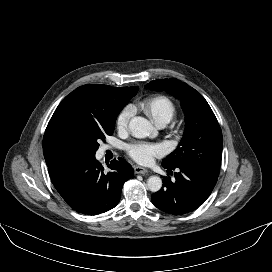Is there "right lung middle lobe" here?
<instances>
[{
	"label": "right lung middle lobe",
	"instance_id": "right-lung-middle-lobe-1",
	"mask_svg": "<svg viewBox=\"0 0 272 272\" xmlns=\"http://www.w3.org/2000/svg\"><path fill=\"white\" fill-rule=\"evenodd\" d=\"M114 128L115 123L105 132L93 131L87 134H76L64 137L61 140L58 152L61 161L95 155L99 148L98 142L100 140L104 141L106 135H112Z\"/></svg>",
	"mask_w": 272,
	"mask_h": 272
}]
</instances>
